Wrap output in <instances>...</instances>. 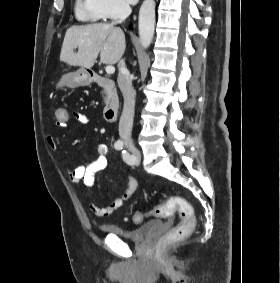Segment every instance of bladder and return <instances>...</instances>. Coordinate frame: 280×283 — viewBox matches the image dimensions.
<instances>
[{
  "label": "bladder",
  "mask_w": 280,
  "mask_h": 283,
  "mask_svg": "<svg viewBox=\"0 0 280 283\" xmlns=\"http://www.w3.org/2000/svg\"><path fill=\"white\" fill-rule=\"evenodd\" d=\"M163 224V221L154 219L134 229H125L118 224H106L102 226V230L104 233L113 234L122 239L138 242L161 229Z\"/></svg>",
  "instance_id": "bladder-1"
}]
</instances>
